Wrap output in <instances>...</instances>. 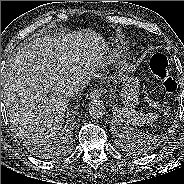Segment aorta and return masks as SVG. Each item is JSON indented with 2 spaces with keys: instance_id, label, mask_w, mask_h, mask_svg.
<instances>
[{
  "instance_id": "aorta-1",
  "label": "aorta",
  "mask_w": 184,
  "mask_h": 184,
  "mask_svg": "<svg viewBox=\"0 0 184 184\" xmlns=\"http://www.w3.org/2000/svg\"><path fill=\"white\" fill-rule=\"evenodd\" d=\"M88 112L94 119H100L106 114V107L102 101L93 100L88 106Z\"/></svg>"
}]
</instances>
